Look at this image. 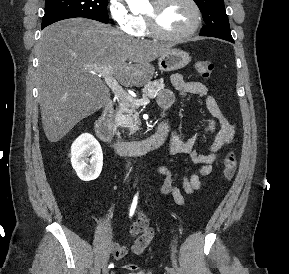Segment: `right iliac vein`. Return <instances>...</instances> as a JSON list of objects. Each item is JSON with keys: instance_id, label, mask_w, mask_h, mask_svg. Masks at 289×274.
I'll list each match as a JSON object with an SVG mask.
<instances>
[{"instance_id": "1", "label": "right iliac vein", "mask_w": 289, "mask_h": 274, "mask_svg": "<svg viewBox=\"0 0 289 274\" xmlns=\"http://www.w3.org/2000/svg\"><path fill=\"white\" fill-rule=\"evenodd\" d=\"M108 271H109V270H108L107 267H104V268H103V274H108Z\"/></svg>"}]
</instances>
